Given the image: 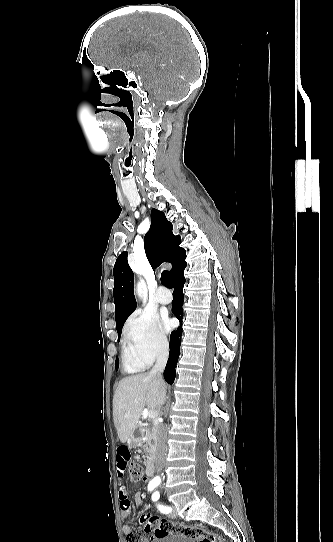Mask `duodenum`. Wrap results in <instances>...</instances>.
Here are the masks:
<instances>
[{
    "mask_svg": "<svg viewBox=\"0 0 333 542\" xmlns=\"http://www.w3.org/2000/svg\"><path fill=\"white\" fill-rule=\"evenodd\" d=\"M132 443L135 444L134 439L132 440ZM153 472H154V461L149 460L146 464V474L147 476H152Z\"/></svg>",
    "mask_w": 333,
    "mask_h": 542,
    "instance_id": "410a0bca",
    "label": "duodenum"
}]
</instances>
